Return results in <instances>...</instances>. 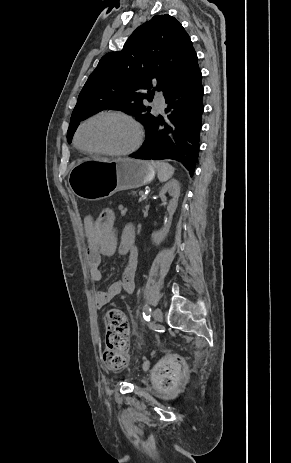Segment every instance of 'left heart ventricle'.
<instances>
[{
  "mask_svg": "<svg viewBox=\"0 0 291 463\" xmlns=\"http://www.w3.org/2000/svg\"><path fill=\"white\" fill-rule=\"evenodd\" d=\"M133 127L127 121L116 118H100L83 127L79 142L91 149H125L134 141Z\"/></svg>",
  "mask_w": 291,
  "mask_h": 463,
  "instance_id": "left-heart-ventricle-1",
  "label": "left heart ventricle"
}]
</instances>
